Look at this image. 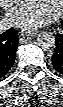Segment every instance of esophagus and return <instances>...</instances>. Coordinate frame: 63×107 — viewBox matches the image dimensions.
Here are the masks:
<instances>
[{
    "mask_svg": "<svg viewBox=\"0 0 63 107\" xmlns=\"http://www.w3.org/2000/svg\"><path fill=\"white\" fill-rule=\"evenodd\" d=\"M36 34H37L36 31H21L20 32L21 36H26L27 38H30V37H32V36H34Z\"/></svg>",
    "mask_w": 63,
    "mask_h": 107,
    "instance_id": "esophagus-1",
    "label": "esophagus"
}]
</instances>
